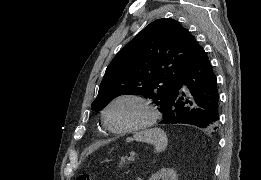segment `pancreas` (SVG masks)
<instances>
[{"instance_id": "cf45deb5", "label": "pancreas", "mask_w": 261, "mask_h": 180, "mask_svg": "<svg viewBox=\"0 0 261 180\" xmlns=\"http://www.w3.org/2000/svg\"><path fill=\"white\" fill-rule=\"evenodd\" d=\"M128 164H130V162H128V158L119 159L118 162L116 163V166H117L118 170H123V168L127 167Z\"/></svg>"}]
</instances>
